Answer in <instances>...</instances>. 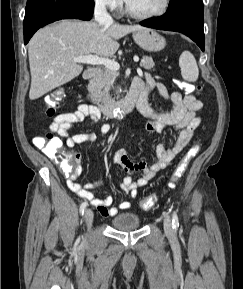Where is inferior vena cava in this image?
<instances>
[{"mask_svg":"<svg viewBox=\"0 0 243 289\" xmlns=\"http://www.w3.org/2000/svg\"><path fill=\"white\" fill-rule=\"evenodd\" d=\"M94 15L100 26H110L113 23L112 17L107 12L105 0H97Z\"/></svg>","mask_w":243,"mask_h":289,"instance_id":"inferior-vena-cava-1","label":"inferior vena cava"}]
</instances>
